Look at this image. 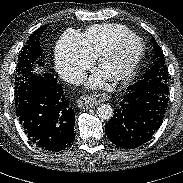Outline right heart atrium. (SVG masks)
I'll list each match as a JSON object with an SVG mask.
<instances>
[{
    "label": "right heart atrium",
    "instance_id": "1",
    "mask_svg": "<svg viewBox=\"0 0 183 183\" xmlns=\"http://www.w3.org/2000/svg\"><path fill=\"white\" fill-rule=\"evenodd\" d=\"M92 57L85 51L81 37L69 31L65 33L55 49V64L58 72L66 79L75 81L92 64Z\"/></svg>",
    "mask_w": 183,
    "mask_h": 183
}]
</instances>
